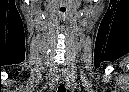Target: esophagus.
Returning a JSON list of instances; mask_svg holds the SVG:
<instances>
[{
  "instance_id": "1",
  "label": "esophagus",
  "mask_w": 129,
  "mask_h": 92,
  "mask_svg": "<svg viewBox=\"0 0 129 92\" xmlns=\"http://www.w3.org/2000/svg\"><path fill=\"white\" fill-rule=\"evenodd\" d=\"M58 79H59V82L60 83H63L65 81V77H64L63 74L62 75H59Z\"/></svg>"
}]
</instances>
